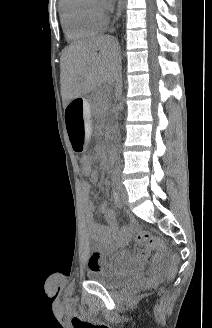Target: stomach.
<instances>
[{
	"mask_svg": "<svg viewBox=\"0 0 212 328\" xmlns=\"http://www.w3.org/2000/svg\"><path fill=\"white\" fill-rule=\"evenodd\" d=\"M73 101L65 105L64 128H67L66 132L68 139L71 140L72 148L81 152L87 148L88 141L87 129L90 125L88 102Z\"/></svg>",
	"mask_w": 212,
	"mask_h": 328,
	"instance_id": "1",
	"label": "stomach"
}]
</instances>
